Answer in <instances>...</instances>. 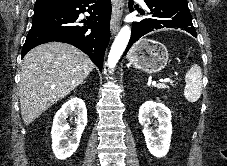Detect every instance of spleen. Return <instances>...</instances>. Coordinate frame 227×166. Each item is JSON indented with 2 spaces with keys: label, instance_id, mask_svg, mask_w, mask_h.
Here are the masks:
<instances>
[{
  "label": "spleen",
  "instance_id": "obj_1",
  "mask_svg": "<svg viewBox=\"0 0 227 166\" xmlns=\"http://www.w3.org/2000/svg\"><path fill=\"white\" fill-rule=\"evenodd\" d=\"M186 86L184 96L187 101L196 102L202 93V71L199 65L194 64L185 75Z\"/></svg>",
  "mask_w": 227,
  "mask_h": 166
}]
</instances>
